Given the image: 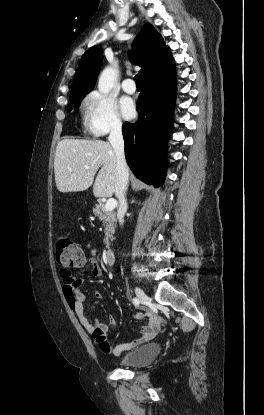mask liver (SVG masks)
<instances>
[{
    "instance_id": "obj_1",
    "label": "liver",
    "mask_w": 264,
    "mask_h": 415,
    "mask_svg": "<svg viewBox=\"0 0 264 415\" xmlns=\"http://www.w3.org/2000/svg\"><path fill=\"white\" fill-rule=\"evenodd\" d=\"M88 167V168H86ZM96 197L115 193L117 160L109 142L87 139H64L56 147L54 173L60 192L87 190L94 181Z\"/></svg>"
}]
</instances>
